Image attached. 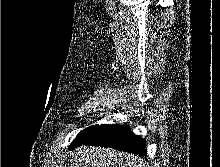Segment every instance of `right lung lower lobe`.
<instances>
[{"mask_svg":"<svg viewBox=\"0 0 220 167\" xmlns=\"http://www.w3.org/2000/svg\"><path fill=\"white\" fill-rule=\"evenodd\" d=\"M82 144L109 147L146 156L145 140L131 132L127 126L100 125Z\"/></svg>","mask_w":220,"mask_h":167,"instance_id":"right-lung-lower-lobe-1","label":"right lung lower lobe"}]
</instances>
